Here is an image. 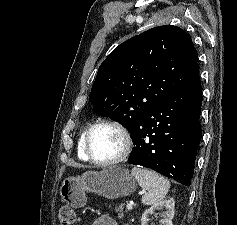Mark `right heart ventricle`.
<instances>
[{"label": "right heart ventricle", "mask_w": 237, "mask_h": 225, "mask_svg": "<svg viewBox=\"0 0 237 225\" xmlns=\"http://www.w3.org/2000/svg\"><path fill=\"white\" fill-rule=\"evenodd\" d=\"M86 131L84 130L78 139V145H77V154L79 159L83 161H88L89 159L87 158L85 151H84V138H85Z\"/></svg>", "instance_id": "right-heart-ventricle-1"}]
</instances>
